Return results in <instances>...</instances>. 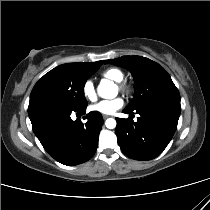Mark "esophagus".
Masks as SVG:
<instances>
[{"label":"esophagus","mask_w":210,"mask_h":210,"mask_svg":"<svg viewBox=\"0 0 210 210\" xmlns=\"http://www.w3.org/2000/svg\"><path fill=\"white\" fill-rule=\"evenodd\" d=\"M107 118H109L108 115H103V119H107Z\"/></svg>","instance_id":"obj_1"}]
</instances>
